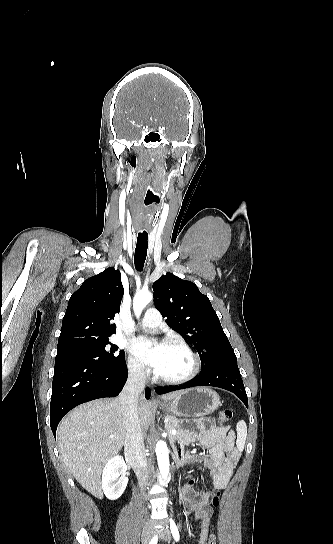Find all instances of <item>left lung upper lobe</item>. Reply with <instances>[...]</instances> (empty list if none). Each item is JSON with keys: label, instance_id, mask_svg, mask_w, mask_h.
<instances>
[{"label": "left lung upper lobe", "instance_id": "5c2ea615", "mask_svg": "<svg viewBox=\"0 0 333 544\" xmlns=\"http://www.w3.org/2000/svg\"><path fill=\"white\" fill-rule=\"evenodd\" d=\"M155 307L170 328L189 340L201 359V370L217 362H237L210 300L191 281L167 273L153 283Z\"/></svg>", "mask_w": 333, "mask_h": 544}]
</instances>
